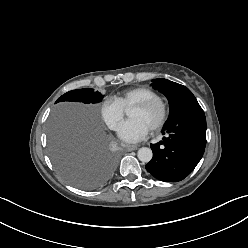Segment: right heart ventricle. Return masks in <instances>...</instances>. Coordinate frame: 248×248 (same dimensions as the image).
I'll use <instances>...</instances> for the list:
<instances>
[{"mask_svg": "<svg viewBox=\"0 0 248 248\" xmlns=\"http://www.w3.org/2000/svg\"><path fill=\"white\" fill-rule=\"evenodd\" d=\"M157 96L156 92L148 87H134L115 95L112 99L118 103L123 110L131 108L134 104Z\"/></svg>", "mask_w": 248, "mask_h": 248, "instance_id": "e07e8e85", "label": "right heart ventricle"}]
</instances>
